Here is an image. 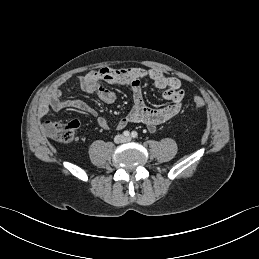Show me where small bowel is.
<instances>
[{
    "label": "small bowel",
    "mask_w": 259,
    "mask_h": 259,
    "mask_svg": "<svg viewBox=\"0 0 259 259\" xmlns=\"http://www.w3.org/2000/svg\"><path fill=\"white\" fill-rule=\"evenodd\" d=\"M143 79L151 80L154 87L163 92V98L169 101V104L156 109L148 107L144 102L141 88ZM65 80L63 79L62 82ZM76 81L83 91L95 94L106 104H112L116 100V93L103 86V82L112 85H126L131 88L133 104L129 112L117 122L116 128L118 130L125 128L129 124L142 123L147 126L150 132H154L157 126L171 120L180 112L184 99V91L179 79L166 76L156 68L129 66L113 69L104 67L78 76ZM66 108L77 109L95 118L102 129H109L108 120L103 116H99L98 112L89 104L78 99H63L62 90L59 86L50 91L48 99L42 104L38 114L42 118L50 110L57 111Z\"/></svg>",
    "instance_id": "small-bowel-1"
}]
</instances>
